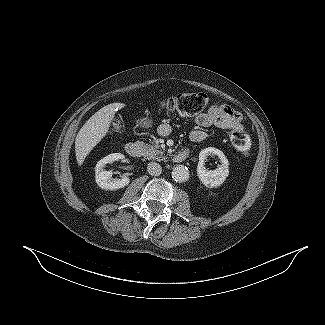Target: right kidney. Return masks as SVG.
Here are the masks:
<instances>
[{
    "label": "right kidney",
    "instance_id": "ca27d5eb",
    "mask_svg": "<svg viewBox=\"0 0 325 325\" xmlns=\"http://www.w3.org/2000/svg\"><path fill=\"white\" fill-rule=\"evenodd\" d=\"M125 156L121 153H112L97 162L95 167V180L102 189L116 190L127 186L130 179L126 176L121 179H113L112 171H106L105 165L114 161L123 160Z\"/></svg>",
    "mask_w": 325,
    "mask_h": 325
}]
</instances>
